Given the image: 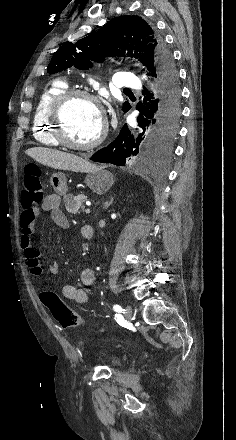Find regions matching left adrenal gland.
Masks as SVG:
<instances>
[{
  "label": "left adrenal gland",
  "mask_w": 236,
  "mask_h": 440,
  "mask_svg": "<svg viewBox=\"0 0 236 440\" xmlns=\"http://www.w3.org/2000/svg\"><path fill=\"white\" fill-rule=\"evenodd\" d=\"M112 203H113V199H112V197H110V200H109V201H106V202L103 204V208H104V209H107Z\"/></svg>",
  "instance_id": "left-adrenal-gland-1"
}]
</instances>
